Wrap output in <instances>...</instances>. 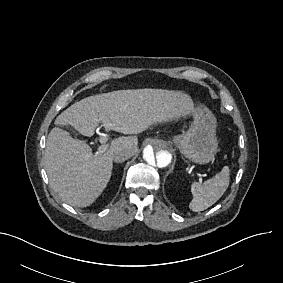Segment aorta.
Listing matches in <instances>:
<instances>
[{
	"instance_id": "obj_1",
	"label": "aorta",
	"mask_w": 283,
	"mask_h": 283,
	"mask_svg": "<svg viewBox=\"0 0 283 283\" xmlns=\"http://www.w3.org/2000/svg\"><path fill=\"white\" fill-rule=\"evenodd\" d=\"M143 160L150 171H165L173 162V148L165 140L152 138L146 142Z\"/></svg>"
}]
</instances>
